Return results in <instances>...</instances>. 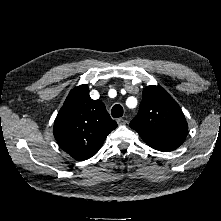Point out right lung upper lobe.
I'll use <instances>...</instances> for the list:
<instances>
[{
	"mask_svg": "<svg viewBox=\"0 0 221 221\" xmlns=\"http://www.w3.org/2000/svg\"><path fill=\"white\" fill-rule=\"evenodd\" d=\"M116 127L103 102L91 99L88 86L80 85L66 98L55 119L53 133L70 156L86 160L97 153Z\"/></svg>",
	"mask_w": 221,
	"mask_h": 221,
	"instance_id": "right-lung-upper-lobe-1",
	"label": "right lung upper lobe"
}]
</instances>
